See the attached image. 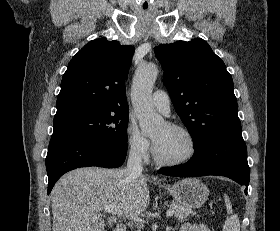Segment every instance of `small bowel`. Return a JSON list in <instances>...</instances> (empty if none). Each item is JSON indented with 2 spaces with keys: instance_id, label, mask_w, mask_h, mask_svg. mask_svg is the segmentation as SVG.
<instances>
[{
  "instance_id": "c3829d8e",
  "label": "small bowel",
  "mask_w": 280,
  "mask_h": 231,
  "mask_svg": "<svg viewBox=\"0 0 280 231\" xmlns=\"http://www.w3.org/2000/svg\"><path fill=\"white\" fill-rule=\"evenodd\" d=\"M180 231H209V229L203 224L185 223Z\"/></svg>"
}]
</instances>
